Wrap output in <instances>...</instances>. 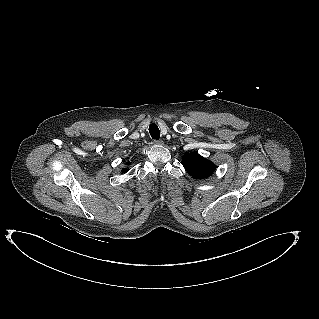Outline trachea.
<instances>
[{"label": "trachea", "instance_id": "1", "mask_svg": "<svg viewBox=\"0 0 319 319\" xmlns=\"http://www.w3.org/2000/svg\"><path fill=\"white\" fill-rule=\"evenodd\" d=\"M149 133L151 135V137L155 140H159L160 138V131L159 128L156 124H150L149 126Z\"/></svg>", "mask_w": 319, "mask_h": 319}]
</instances>
